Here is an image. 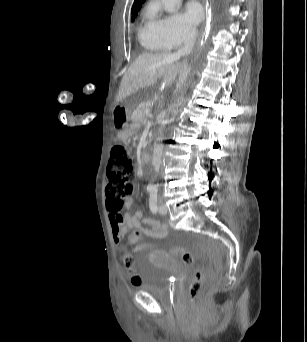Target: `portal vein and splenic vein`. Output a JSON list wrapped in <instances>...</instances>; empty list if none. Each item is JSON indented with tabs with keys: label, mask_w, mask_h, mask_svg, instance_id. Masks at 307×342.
<instances>
[{
	"label": "portal vein and splenic vein",
	"mask_w": 307,
	"mask_h": 342,
	"mask_svg": "<svg viewBox=\"0 0 307 342\" xmlns=\"http://www.w3.org/2000/svg\"><path fill=\"white\" fill-rule=\"evenodd\" d=\"M144 114H146V116H148V114H150V110H145Z\"/></svg>",
	"instance_id": "1"
}]
</instances>
